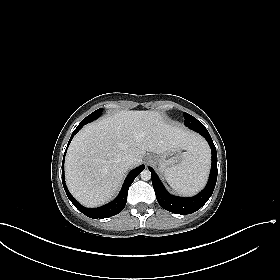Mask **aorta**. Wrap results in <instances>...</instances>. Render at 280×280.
<instances>
[{"instance_id": "762f6f07", "label": "aorta", "mask_w": 280, "mask_h": 280, "mask_svg": "<svg viewBox=\"0 0 280 280\" xmlns=\"http://www.w3.org/2000/svg\"><path fill=\"white\" fill-rule=\"evenodd\" d=\"M140 176L142 180L148 181L151 179V172L149 170H143Z\"/></svg>"}]
</instances>
